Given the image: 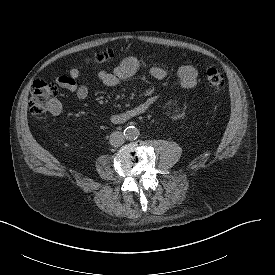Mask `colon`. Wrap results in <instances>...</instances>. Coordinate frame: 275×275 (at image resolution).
Segmentation results:
<instances>
[{
  "mask_svg": "<svg viewBox=\"0 0 275 275\" xmlns=\"http://www.w3.org/2000/svg\"><path fill=\"white\" fill-rule=\"evenodd\" d=\"M112 57L110 51L97 54L93 61L104 64ZM205 84L213 92H220L225 86L224 74L216 68H209L205 74ZM57 88L54 84L45 80L34 81L31 89L30 111L35 116H40L53 108L56 104Z\"/></svg>",
  "mask_w": 275,
  "mask_h": 275,
  "instance_id": "obj_1",
  "label": "colon"
}]
</instances>
